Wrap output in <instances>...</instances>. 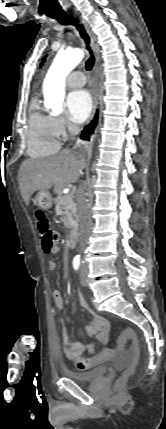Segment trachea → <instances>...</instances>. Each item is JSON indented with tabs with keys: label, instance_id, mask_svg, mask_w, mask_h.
Masks as SVG:
<instances>
[{
	"label": "trachea",
	"instance_id": "3493384b",
	"mask_svg": "<svg viewBox=\"0 0 166 429\" xmlns=\"http://www.w3.org/2000/svg\"><path fill=\"white\" fill-rule=\"evenodd\" d=\"M49 17L56 19L62 25H73L76 27L81 38L85 41L86 48L90 53V57L86 61V65H85L86 70L90 71L94 66L95 58H94L92 50L90 48V38H89L88 34L86 33V30L84 29L83 25L79 24L78 20L69 16L65 12L51 13V14H49Z\"/></svg>",
	"mask_w": 166,
	"mask_h": 429
}]
</instances>
